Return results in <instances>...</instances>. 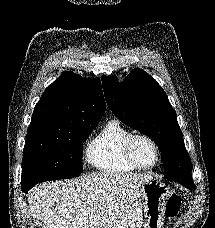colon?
Here are the masks:
<instances>
[{
    "label": "colon",
    "mask_w": 215,
    "mask_h": 228,
    "mask_svg": "<svg viewBox=\"0 0 215 228\" xmlns=\"http://www.w3.org/2000/svg\"><path fill=\"white\" fill-rule=\"evenodd\" d=\"M180 206H181V198L176 194L170 196L166 202V209H165L166 216L168 218L175 217L180 209Z\"/></svg>",
    "instance_id": "1"
}]
</instances>
